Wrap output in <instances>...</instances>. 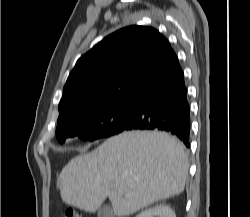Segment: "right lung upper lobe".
<instances>
[{"instance_id":"obj_1","label":"right lung upper lobe","mask_w":250,"mask_h":217,"mask_svg":"<svg viewBox=\"0 0 250 217\" xmlns=\"http://www.w3.org/2000/svg\"><path fill=\"white\" fill-rule=\"evenodd\" d=\"M178 65L169 42L156 29L123 28L79 58L63 89L58 122L91 107L134 99Z\"/></svg>"}]
</instances>
